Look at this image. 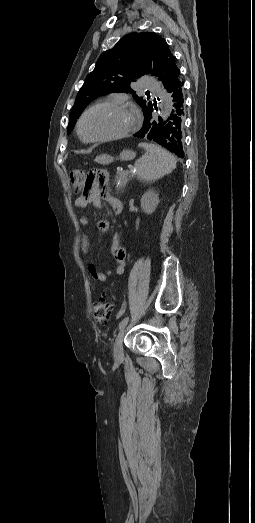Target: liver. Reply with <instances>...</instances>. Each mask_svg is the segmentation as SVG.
Returning a JSON list of instances; mask_svg holds the SVG:
<instances>
[{
	"instance_id": "6515ba94",
	"label": "liver",
	"mask_w": 255,
	"mask_h": 523,
	"mask_svg": "<svg viewBox=\"0 0 255 523\" xmlns=\"http://www.w3.org/2000/svg\"><path fill=\"white\" fill-rule=\"evenodd\" d=\"M95 162H99V164H103V162H104V156H97Z\"/></svg>"
}]
</instances>
